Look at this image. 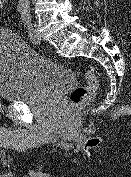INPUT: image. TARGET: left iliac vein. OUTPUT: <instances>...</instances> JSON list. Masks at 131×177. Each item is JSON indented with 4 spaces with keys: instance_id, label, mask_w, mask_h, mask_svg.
Segmentation results:
<instances>
[{
    "instance_id": "4c4485c4",
    "label": "left iliac vein",
    "mask_w": 131,
    "mask_h": 177,
    "mask_svg": "<svg viewBox=\"0 0 131 177\" xmlns=\"http://www.w3.org/2000/svg\"><path fill=\"white\" fill-rule=\"evenodd\" d=\"M33 27H34V30H35V33H36V42H35V43H40V42H41V36H40V34L38 33L36 24H34Z\"/></svg>"
}]
</instances>
